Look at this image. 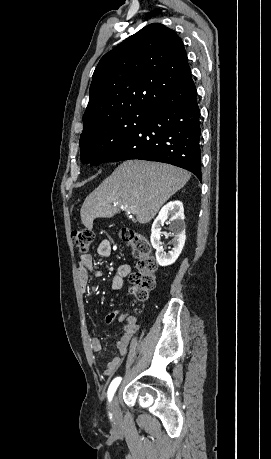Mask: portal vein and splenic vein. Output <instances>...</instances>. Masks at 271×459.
<instances>
[{
  "label": "portal vein and splenic vein",
  "mask_w": 271,
  "mask_h": 459,
  "mask_svg": "<svg viewBox=\"0 0 271 459\" xmlns=\"http://www.w3.org/2000/svg\"><path fill=\"white\" fill-rule=\"evenodd\" d=\"M122 210H125V212H128V214H134L133 208H122Z\"/></svg>",
  "instance_id": "portal-vein-and-splenic-vein-1"
}]
</instances>
